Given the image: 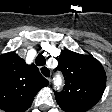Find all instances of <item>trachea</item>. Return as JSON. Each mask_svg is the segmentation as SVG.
I'll return each instance as SVG.
<instances>
[{"label":"trachea","instance_id":"obj_1","mask_svg":"<svg viewBox=\"0 0 112 112\" xmlns=\"http://www.w3.org/2000/svg\"><path fill=\"white\" fill-rule=\"evenodd\" d=\"M35 62H36V65L37 66H44L45 64H46V59H45V57L42 55V54H39L37 57H36V60H35ZM43 69V68H42ZM42 73L45 75V76H47L46 74H47V72H46V70H42Z\"/></svg>","mask_w":112,"mask_h":112}]
</instances>
